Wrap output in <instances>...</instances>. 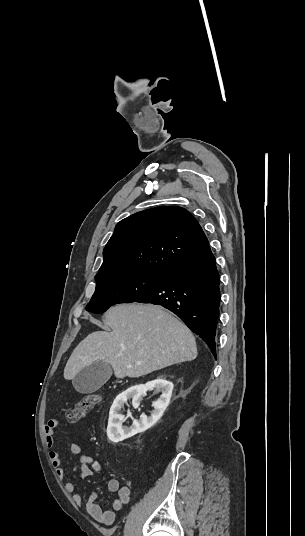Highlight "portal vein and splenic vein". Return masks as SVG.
<instances>
[{
  "instance_id": "portal-vein-and-splenic-vein-1",
  "label": "portal vein and splenic vein",
  "mask_w": 305,
  "mask_h": 536,
  "mask_svg": "<svg viewBox=\"0 0 305 536\" xmlns=\"http://www.w3.org/2000/svg\"><path fill=\"white\" fill-rule=\"evenodd\" d=\"M136 364H140V362H136Z\"/></svg>"
}]
</instances>
